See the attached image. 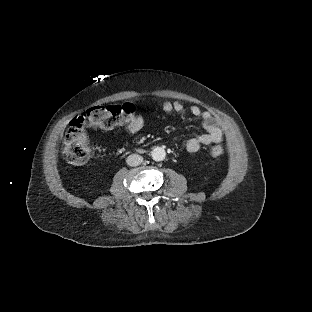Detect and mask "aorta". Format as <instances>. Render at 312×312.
<instances>
[{"mask_svg":"<svg viewBox=\"0 0 312 312\" xmlns=\"http://www.w3.org/2000/svg\"><path fill=\"white\" fill-rule=\"evenodd\" d=\"M152 158L155 161H163L166 158V151L163 147L157 146L152 150Z\"/></svg>","mask_w":312,"mask_h":312,"instance_id":"1","label":"aorta"}]
</instances>
